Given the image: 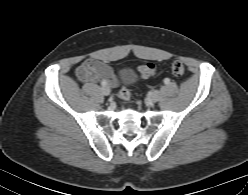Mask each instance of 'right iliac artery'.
<instances>
[{"label":"right iliac artery","mask_w":248,"mask_h":195,"mask_svg":"<svg viewBox=\"0 0 248 195\" xmlns=\"http://www.w3.org/2000/svg\"><path fill=\"white\" fill-rule=\"evenodd\" d=\"M101 85H102V86H106L107 83H106L105 81H103V82L101 83Z\"/></svg>","instance_id":"right-iliac-artery-1"}]
</instances>
